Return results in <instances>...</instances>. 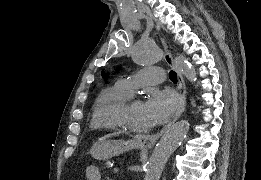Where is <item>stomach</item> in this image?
Wrapping results in <instances>:
<instances>
[{"label": "stomach", "mask_w": 261, "mask_h": 180, "mask_svg": "<svg viewBox=\"0 0 261 180\" xmlns=\"http://www.w3.org/2000/svg\"><path fill=\"white\" fill-rule=\"evenodd\" d=\"M137 147L134 141L103 139L92 146L90 154L97 160L105 161Z\"/></svg>", "instance_id": "0dacf381"}]
</instances>
